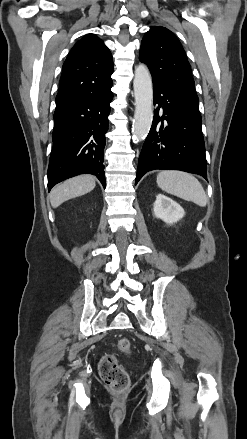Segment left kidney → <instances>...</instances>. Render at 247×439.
I'll return each instance as SVG.
<instances>
[{"label":"left kidney","mask_w":247,"mask_h":439,"mask_svg":"<svg viewBox=\"0 0 247 439\" xmlns=\"http://www.w3.org/2000/svg\"><path fill=\"white\" fill-rule=\"evenodd\" d=\"M153 213L156 218L169 225L176 223L185 215L184 209L177 202L163 194L156 196Z\"/></svg>","instance_id":"left-kidney-1"}]
</instances>
